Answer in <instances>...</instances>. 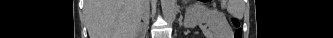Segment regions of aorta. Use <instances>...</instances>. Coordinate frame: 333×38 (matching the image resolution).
<instances>
[{"label":"aorta","mask_w":333,"mask_h":38,"mask_svg":"<svg viewBox=\"0 0 333 38\" xmlns=\"http://www.w3.org/2000/svg\"><path fill=\"white\" fill-rule=\"evenodd\" d=\"M162 11L165 20L172 24L175 20V0H161Z\"/></svg>","instance_id":"aorta-1"}]
</instances>
